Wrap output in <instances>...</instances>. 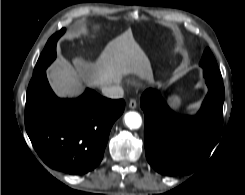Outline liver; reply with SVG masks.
<instances>
[{
  "instance_id": "1",
  "label": "liver",
  "mask_w": 245,
  "mask_h": 195,
  "mask_svg": "<svg viewBox=\"0 0 245 195\" xmlns=\"http://www.w3.org/2000/svg\"><path fill=\"white\" fill-rule=\"evenodd\" d=\"M73 62L77 69L60 56L47 71L52 88L61 97L78 95L83 82L99 87L119 85L128 74L152 79L150 61L131 30L109 42L94 64H86L80 57Z\"/></svg>"
}]
</instances>
